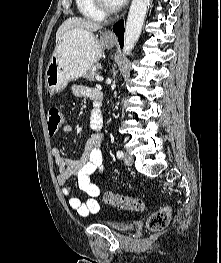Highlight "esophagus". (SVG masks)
I'll return each mask as SVG.
<instances>
[{"label":"esophagus","mask_w":221,"mask_h":263,"mask_svg":"<svg viewBox=\"0 0 221 263\" xmlns=\"http://www.w3.org/2000/svg\"><path fill=\"white\" fill-rule=\"evenodd\" d=\"M106 35H107L108 37H110V38H115V37H116L115 34H114L113 32H111V31H108V32L106 33Z\"/></svg>","instance_id":"obj_1"}]
</instances>
